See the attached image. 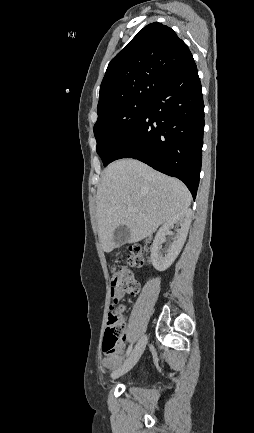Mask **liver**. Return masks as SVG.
Returning <instances> with one entry per match:
<instances>
[{
  "label": "liver",
  "mask_w": 254,
  "mask_h": 433,
  "mask_svg": "<svg viewBox=\"0 0 254 433\" xmlns=\"http://www.w3.org/2000/svg\"><path fill=\"white\" fill-rule=\"evenodd\" d=\"M190 203L191 194L178 179L134 159L111 163L104 170L96 196L99 240L103 250L109 253L116 248L113 238L118 226H127L131 231L128 242L135 243L188 209Z\"/></svg>",
  "instance_id": "6515ba94"
}]
</instances>
